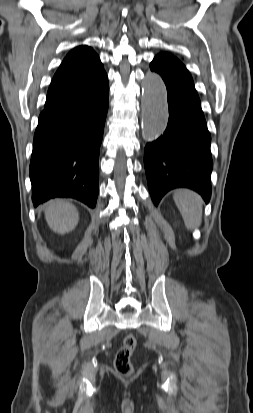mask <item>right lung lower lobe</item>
<instances>
[{
  "label": "right lung lower lobe",
  "instance_id": "98d812e1",
  "mask_svg": "<svg viewBox=\"0 0 253 413\" xmlns=\"http://www.w3.org/2000/svg\"><path fill=\"white\" fill-rule=\"evenodd\" d=\"M108 94L106 78L95 92L41 112L30 163L34 206L72 197L95 207Z\"/></svg>",
  "mask_w": 253,
  "mask_h": 413
}]
</instances>
